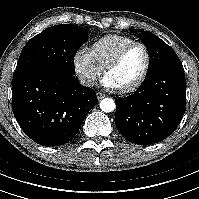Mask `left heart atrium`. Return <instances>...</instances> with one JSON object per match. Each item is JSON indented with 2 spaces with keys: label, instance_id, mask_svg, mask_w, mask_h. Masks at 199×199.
I'll return each instance as SVG.
<instances>
[{
  "label": "left heart atrium",
  "instance_id": "obj_1",
  "mask_svg": "<svg viewBox=\"0 0 199 199\" xmlns=\"http://www.w3.org/2000/svg\"><path fill=\"white\" fill-rule=\"evenodd\" d=\"M102 84L104 87H106L108 89H114L113 86L111 85V83L105 77L103 78Z\"/></svg>",
  "mask_w": 199,
  "mask_h": 199
}]
</instances>
